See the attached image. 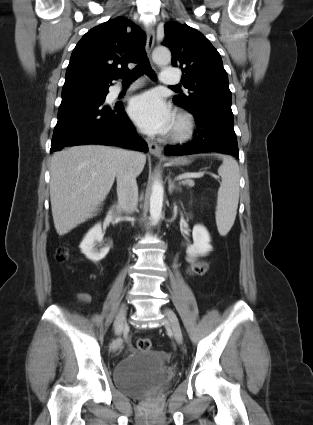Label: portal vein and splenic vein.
<instances>
[{"instance_id": "1", "label": "portal vein and splenic vein", "mask_w": 313, "mask_h": 425, "mask_svg": "<svg viewBox=\"0 0 313 425\" xmlns=\"http://www.w3.org/2000/svg\"><path fill=\"white\" fill-rule=\"evenodd\" d=\"M203 175H204V172L186 173V174L179 175L176 179L182 180V179H190V178H201L203 177ZM213 177L216 178L215 175H213Z\"/></svg>"}]
</instances>
